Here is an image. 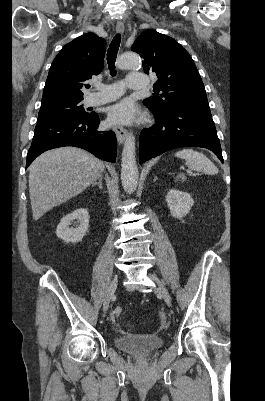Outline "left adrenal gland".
Returning <instances> with one entry per match:
<instances>
[{"label":"left adrenal gland","instance_id":"left-adrenal-gland-1","mask_svg":"<svg viewBox=\"0 0 265 401\" xmlns=\"http://www.w3.org/2000/svg\"><path fill=\"white\" fill-rule=\"evenodd\" d=\"M157 176H155L154 180H156Z\"/></svg>","mask_w":265,"mask_h":401}]
</instances>
